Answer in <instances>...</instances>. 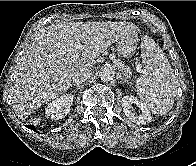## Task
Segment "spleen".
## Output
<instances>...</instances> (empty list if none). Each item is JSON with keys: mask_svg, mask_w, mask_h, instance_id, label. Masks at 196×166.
<instances>
[{"mask_svg": "<svg viewBox=\"0 0 196 166\" xmlns=\"http://www.w3.org/2000/svg\"><path fill=\"white\" fill-rule=\"evenodd\" d=\"M141 48L144 68L136 80L137 94L152 113L165 114L174 104L176 76L164 52L151 38L145 37Z\"/></svg>", "mask_w": 196, "mask_h": 166, "instance_id": "spleen-1", "label": "spleen"}]
</instances>
